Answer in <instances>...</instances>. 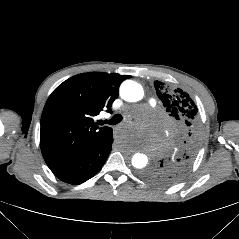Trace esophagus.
<instances>
[{
    "instance_id": "1",
    "label": "esophagus",
    "mask_w": 239,
    "mask_h": 239,
    "mask_svg": "<svg viewBox=\"0 0 239 239\" xmlns=\"http://www.w3.org/2000/svg\"><path fill=\"white\" fill-rule=\"evenodd\" d=\"M112 136H113V138H115V139L120 138V136H121L120 130H118V129L113 130Z\"/></svg>"
}]
</instances>
